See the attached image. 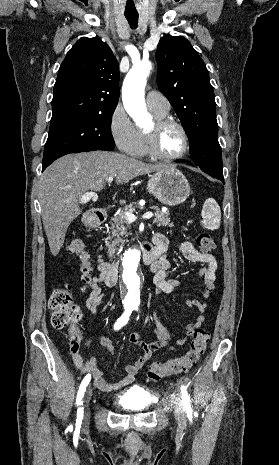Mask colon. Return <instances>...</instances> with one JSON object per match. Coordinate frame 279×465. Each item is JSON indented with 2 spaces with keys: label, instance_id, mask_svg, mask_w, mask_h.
I'll return each instance as SVG.
<instances>
[{
  "label": "colon",
  "instance_id": "obj_1",
  "mask_svg": "<svg viewBox=\"0 0 279 465\" xmlns=\"http://www.w3.org/2000/svg\"><path fill=\"white\" fill-rule=\"evenodd\" d=\"M196 243L203 253H210L215 248V241L208 233L199 234ZM68 251L80 259L81 290H84V285L91 280L90 255L86 250L85 243L80 238L71 239ZM49 308L52 312V326L58 330H69L70 350L72 354L78 353L81 337L76 324L81 319L82 313L81 309L74 303L71 287L66 285L54 289L49 298ZM209 339V333L198 328L193 334V340L187 353L182 357L173 358L166 362L151 364L147 371L148 379L156 382L166 376L190 370L205 353Z\"/></svg>",
  "mask_w": 279,
  "mask_h": 465
}]
</instances>
